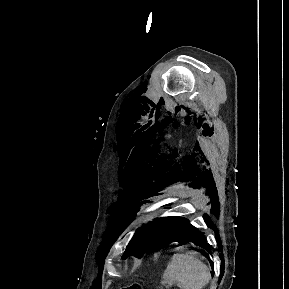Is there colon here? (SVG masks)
Masks as SVG:
<instances>
[{"label": "colon", "instance_id": "colon-1", "mask_svg": "<svg viewBox=\"0 0 289 289\" xmlns=\"http://www.w3.org/2000/svg\"><path fill=\"white\" fill-rule=\"evenodd\" d=\"M131 289H142V287H141L140 284L133 283V284L131 285Z\"/></svg>", "mask_w": 289, "mask_h": 289}]
</instances>
